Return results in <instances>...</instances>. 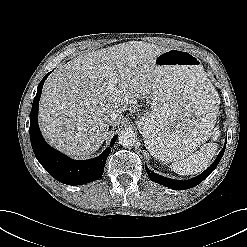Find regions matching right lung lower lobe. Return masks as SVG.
I'll return each mask as SVG.
<instances>
[{"label":"right lung lower lobe","instance_id":"98d812e1","mask_svg":"<svg viewBox=\"0 0 247 247\" xmlns=\"http://www.w3.org/2000/svg\"><path fill=\"white\" fill-rule=\"evenodd\" d=\"M50 73L51 72L46 74L38 85L37 94L34 98L30 114V140L34 154L47 172L53 178L64 184L82 185L98 180L103 174L107 157L118 136H114L111 139L109 147H107L100 156L84 161L70 159L50 147L42 137L37 121L42 87Z\"/></svg>","mask_w":247,"mask_h":247}]
</instances>
